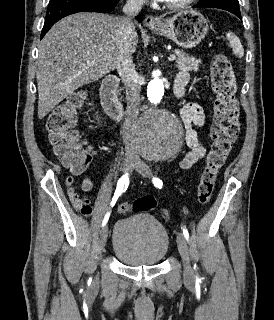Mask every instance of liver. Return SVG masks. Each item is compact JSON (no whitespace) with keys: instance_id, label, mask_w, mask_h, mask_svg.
Wrapping results in <instances>:
<instances>
[{"instance_id":"liver-1","label":"liver","mask_w":274,"mask_h":320,"mask_svg":"<svg viewBox=\"0 0 274 320\" xmlns=\"http://www.w3.org/2000/svg\"><path fill=\"white\" fill-rule=\"evenodd\" d=\"M119 20V16L79 12L63 18L47 32L38 48L39 120L78 88L116 70L119 44L115 34ZM137 42L133 38L132 54ZM87 62L94 64L88 66Z\"/></svg>"}]
</instances>
